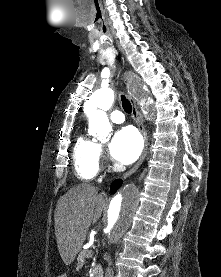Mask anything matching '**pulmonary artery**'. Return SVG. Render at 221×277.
I'll return each mask as SVG.
<instances>
[{
    "instance_id": "pulmonary-artery-1",
    "label": "pulmonary artery",
    "mask_w": 221,
    "mask_h": 277,
    "mask_svg": "<svg viewBox=\"0 0 221 277\" xmlns=\"http://www.w3.org/2000/svg\"><path fill=\"white\" fill-rule=\"evenodd\" d=\"M110 119L114 123H122L125 120L123 113L119 110H114L110 114Z\"/></svg>"
}]
</instances>
